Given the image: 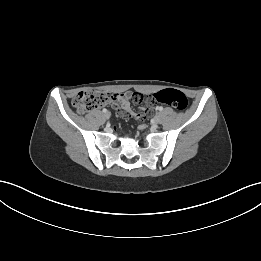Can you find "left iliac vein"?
I'll return each instance as SVG.
<instances>
[{"label": "left iliac vein", "mask_w": 261, "mask_h": 261, "mask_svg": "<svg viewBox=\"0 0 261 261\" xmlns=\"http://www.w3.org/2000/svg\"><path fill=\"white\" fill-rule=\"evenodd\" d=\"M154 123H155V124L161 123V116H160V114H157V115L154 117Z\"/></svg>", "instance_id": "left-iliac-vein-1"}]
</instances>
